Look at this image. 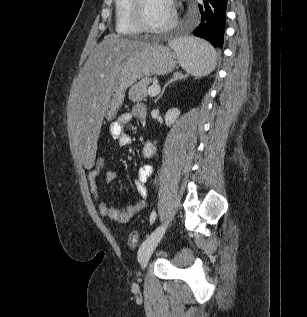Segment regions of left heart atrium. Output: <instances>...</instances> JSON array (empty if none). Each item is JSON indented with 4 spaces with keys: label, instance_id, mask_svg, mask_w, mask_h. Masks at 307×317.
Wrapping results in <instances>:
<instances>
[{
    "label": "left heart atrium",
    "instance_id": "39dd6f15",
    "mask_svg": "<svg viewBox=\"0 0 307 317\" xmlns=\"http://www.w3.org/2000/svg\"><path fill=\"white\" fill-rule=\"evenodd\" d=\"M170 4L172 5V0H169Z\"/></svg>",
    "mask_w": 307,
    "mask_h": 317
}]
</instances>
